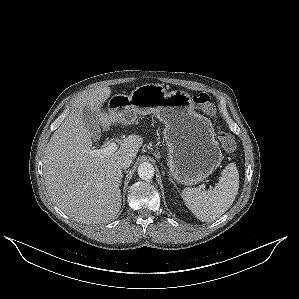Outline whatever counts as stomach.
I'll use <instances>...</instances> for the list:
<instances>
[{"instance_id":"obj_1","label":"stomach","mask_w":299,"mask_h":299,"mask_svg":"<svg viewBox=\"0 0 299 299\" xmlns=\"http://www.w3.org/2000/svg\"><path fill=\"white\" fill-rule=\"evenodd\" d=\"M110 110H121L129 120L154 113L163 122L168 166L179 183L194 185L205 180L221 163L222 153L212 123L194 110L183 90L168 93L160 84H145L130 95L110 99Z\"/></svg>"}]
</instances>
